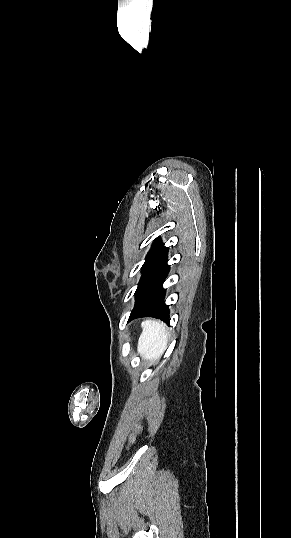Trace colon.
<instances>
[{"label": "colon", "mask_w": 291, "mask_h": 538, "mask_svg": "<svg viewBox=\"0 0 291 538\" xmlns=\"http://www.w3.org/2000/svg\"><path fill=\"white\" fill-rule=\"evenodd\" d=\"M134 441H135V438H134V437H132V438H131V442H133V443H134Z\"/></svg>", "instance_id": "colon-1"}]
</instances>
